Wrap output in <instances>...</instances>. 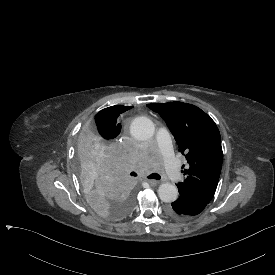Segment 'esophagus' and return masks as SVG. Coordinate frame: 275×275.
I'll return each instance as SVG.
<instances>
[{"label":"esophagus","instance_id":"34e87169","mask_svg":"<svg viewBox=\"0 0 275 275\" xmlns=\"http://www.w3.org/2000/svg\"><path fill=\"white\" fill-rule=\"evenodd\" d=\"M147 182L151 185V186H156L159 184L158 180H154V179H147Z\"/></svg>","mask_w":275,"mask_h":275}]
</instances>
